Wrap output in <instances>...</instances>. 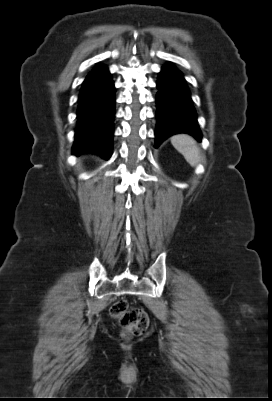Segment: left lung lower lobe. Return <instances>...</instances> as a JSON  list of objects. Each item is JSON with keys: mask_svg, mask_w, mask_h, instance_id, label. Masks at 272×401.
Wrapping results in <instances>:
<instances>
[{"mask_svg": "<svg viewBox=\"0 0 272 401\" xmlns=\"http://www.w3.org/2000/svg\"><path fill=\"white\" fill-rule=\"evenodd\" d=\"M157 88L155 147L177 133H189L201 141L197 114L182 73L172 65L163 66Z\"/></svg>", "mask_w": 272, "mask_h": 401, "instance_id": "obj_1", "label": "left lung lower lobe"}]
</instances>
